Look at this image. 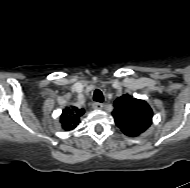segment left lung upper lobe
<instances>
[{
  "mask_svg": "<svg viewBox=\"0 0 190 188\" xmlns=\"http://www.w3.org/2000/svg\"><path fill=\"white\" fill-rule=\"evenodd\" d=\"M112 115L124 134L138 136L152 124L153 112L146 101L125 94L114 101Z\"/></svg>",
  "mask_w": 190,
  "mask_h": 188,
  "instance_id": "obj_1",
  "label": "left lung upper lobe"
}]
</instances>
